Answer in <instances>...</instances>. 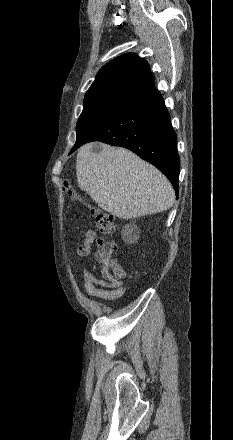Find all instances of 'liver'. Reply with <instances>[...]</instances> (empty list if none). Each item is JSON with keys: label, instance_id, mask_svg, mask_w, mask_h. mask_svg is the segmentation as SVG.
Segmentation results:
<instances>
[{"label": "liver", "instance_id": "liver-1", "mask_svg": "<svg viewBox=\"0 0 233 440\" xmlns=\"http://www.w3.org/2000/svg\"><path fill=\"white\" fill-rule=\"evenodd\" d=\"M81 147L76 159V175L81 190L104 211L133 219L168 210L174 204V189L153 165L131 151L102 145Z\"/></svg>", "mask_w": 233, "mask_h": 440}]
</instances>
